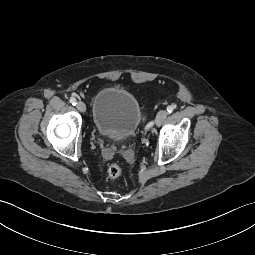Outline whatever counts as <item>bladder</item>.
I'll return each mask as SVG.
<instances>
[{
  "instance_id": "31cf9c89",
  "label": "bladder",
  "mask_w": 255,
  "mask_h": 255,
  "mask_svg": "<svg viewBox=\"0 0 255 255\" xmlns=\"http://www.w3.org/2000/svg\"><path fill=\"white\" fill-rule=\"evenodd\" d=\"M92 117L99 134L113 140H124L132 136L142 123V110L131 92L108 86L95 96Z\"/></svg>"
}]
</instances>
